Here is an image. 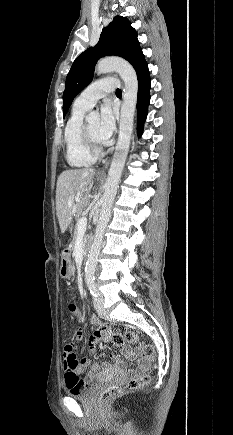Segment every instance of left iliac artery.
Instances as JSON below:
<instances>
[{
	"label": "left iliac artery",
	"mask_w": 233,
	"mask_h": 435,
	"mask_svg": "<svg viewBox=\"0 0 233 435\" xmlns=\"http://www.w3.org/2000/svg\"><path fill=\"white\" fill-rule=\"evenodd\" d=\"M86 283H87V286L90 290V293L95 297L99 296V292H98V290L96 288V284H95V277L87 278Z\"/></svg>",
	"instance_id": "obj_1"
}]
</instances>
